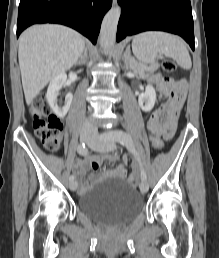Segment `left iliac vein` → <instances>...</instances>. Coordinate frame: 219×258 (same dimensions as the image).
<instances>
[{
    "mask_svg": "<svg viewBox=\"0 0 219 258\" xmlns=\"http://www.w3.org/2000/svg\"><path fill=\"white\" fill-rule=\"evenodd\" d=\"M111 132H106L101 135L94 133L91 139L87 142L88 146L96 151H110L114 149V144L112 140L109 139ZM139 189L142 193L148 191V184L146 181L142 180L139 183Z\"/></svg>",
    "mask_w": 219,
    "mask_h": 258,
    "instance_id": "4c4485c4",
    "label": "left iliac vein"
}]
</instances>
